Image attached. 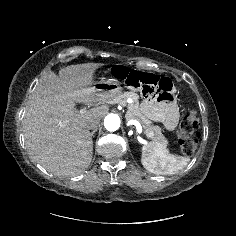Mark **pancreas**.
I'll return each instance as SVG.
<instances>
[{
	"mask_svg": "<svg viewBox=\"0 0 236 236\" xmlns=\"http://www.w3.org/2000/svg\"><path fill=\"white\" fill-rule=\"evenodd\" d=\"M128 98L133 99L132 104H128V111L126 114V119L137 120L143 127L145 134L151 138L156 144L162 145L167 148L168 141L161 132V128L158 125H153V123L146 118L140 111L138 95L133 92H124L113 98V100L118 101L121 105H126Z\"/></svg>",
	"mask_w": 236,
	"mask_h": 236,
	"instance_id": "obj_1",
	"label": "pancreas"
}]
</instances>
